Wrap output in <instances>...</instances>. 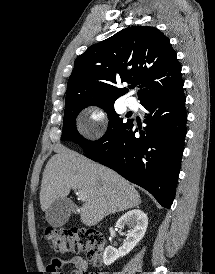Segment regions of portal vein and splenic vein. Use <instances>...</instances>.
<instances>
[{"instance_id": "18ae733b", "label": "portal vein and splenic vein", "mask_w": 215, "mask_h": 274, "mask_svg": "<svg viewBox=\"0 0 215 274\" xmlns=\"http://www.w3.org/2000/svg\"><path fill=\"white\" fill-rule=\"evenodd\" d=\"M77 195L80 200L84 201L86 199V193L84 191H78Z\"/></svg>"}]
</instances>
